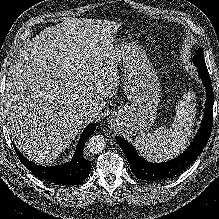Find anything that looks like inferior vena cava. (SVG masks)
Segmentation results:
<instances>
[{"instance_id": "inferior-vena-cava-1", "label": "inferior vena cava", "mask_w": 219, "mask_h": 219, "mask_svg": "<svg viewBox=\"0 0 219 219\" xmlns=\"http://www.w3.org/2000/svg\"><path fill=\"white\" fill-rule=\"evenodd\" d=\"M79 115L82 119H91V118H95L98 114L91 109L83 108L81 109Z\"/></svg>"}]
</instances>
